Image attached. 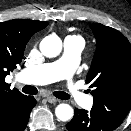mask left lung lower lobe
I'll return each mask as SVG.
<instances>
[{"label":"left lung lower lobe","instance_id":"left-lung-lower-lobe-1","mask_svg":"<svg viewBox=\"0 0 131 131\" xmlns=\"http://www.w3.org/2000/svg\"><path fill=\"white\" fill-rule=\"evenodd\" d=\"M74 113L73 119L66 124L69 131H113L116 129L92 109L88 112L75 108Z\"/></svg>","mask_w":131,"mask_h":131}]
</instances>
